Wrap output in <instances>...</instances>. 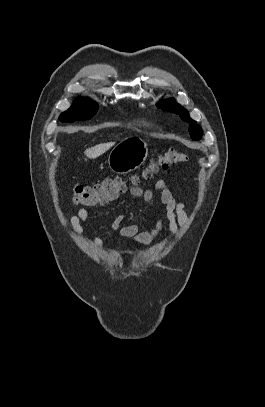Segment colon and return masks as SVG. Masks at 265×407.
<instances>
[{"label":"colon","mask_w":265,"mask_h":407,"mask_svg":"<svg viewBox=\"0 0 265 407\" xmlns=\"http://www.w3.org/2000/svg\"><path fill=\"white\" fill-rule=\"evenodd\" d=\"M187 156L176 149L170 148L162 152L156 159L150 161L139 176L125 179L120 176L109 177L92 185H75L73 200L76 204L93 207L107 203L124 193L130 184L137 183L141 178L149 179L161 169L183 163Z\"/></svg>","instance_id":"5ec220e1"}]
</instances>
